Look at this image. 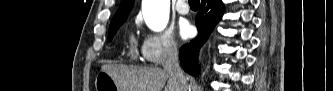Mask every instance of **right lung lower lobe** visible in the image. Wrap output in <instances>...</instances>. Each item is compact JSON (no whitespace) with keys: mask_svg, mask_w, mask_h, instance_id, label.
<instances>
[{"mask_svg":"<svg viewBox=\"0 0 333 91\" xmlns=\"http://www.w3.org/2000/svg\"><path fill=\"white\" fill-rule=\"evenodd\" d=\"M224 6L221 0H202L200 11L196 16L198 36L189 44H185L179 51V58L183 69L193 76H197L200 67L197 64L198 51L207 40L210 32L222 17Z\"/></svg>","mask_w":333,"mask_h":91,"instance_id":"obj_1","label":"right lung lower lobe"}]
</instances>
